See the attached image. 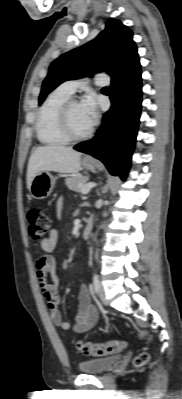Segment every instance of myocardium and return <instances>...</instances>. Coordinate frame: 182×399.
Segmentation results:
<instances>
[{
  "label": "myocardium",
  "instance_id": "1",
  "mask_svg": "<svg viewBox=\"0 0 182 399\" xmlns=\"http://www.w3.org/2000/svg\"><path fill=\"white\" fill-rule=\"evenodd\" d=\"M77 102L75 99H69L67 100L63 106L60 109L59 112V126L62 134L68 141H83L86 140L91 136L94 130V125L92 124L91 127L86 131L85 133L81 135L75 134L70 125V119H69V113H70V108L73 103Z\"/></svg>",
  "mask_w": 182,
  "mask_h": 399
}]
</instances>
